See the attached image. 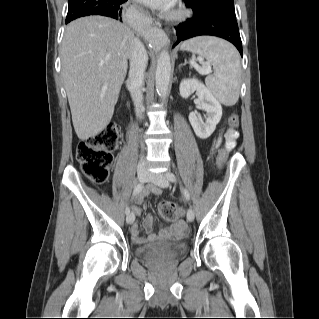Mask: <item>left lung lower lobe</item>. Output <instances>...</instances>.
<instances>
[{"label":"left lung lower lobe","mask_w":319,"mask_h":319,"mask_svg":"<svg viewBox=\"0 0 319 319\" xmlns=\"http://www.w3.org/2000/svg\"><path fill=\"white\" fill-rule=\"evenodd\" d=\"M176 28L177 45L180 41L200 36L212 35L230 41L242 55V43L236 19L220 14H194L193 18L180 23Z\"/></svg>","instance_id":"obj_1"}]
</instances>
